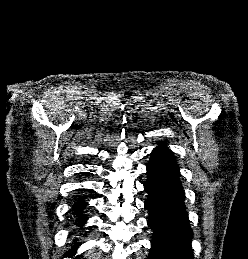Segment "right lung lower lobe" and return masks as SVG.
<instances>
[{
	"mask_svg": "<svg viewBox=\"0 0 248 259\" xmlns=\"http://www.w3.org/2000/svg\"><path fill=\"white\" fill-rule=\"evenodd\" d=\"M86 202L83 199H80L76 202V204L73 207L72 212L73 215L77 217L76 224L78 227H81L84 224L85 219L83 218V208L85 207ZM77 249V247H73L68 253H66L65 256H72L74 254V251Z\"/></svg>",
	"mask_w": 248,
	"mask_h": 259,
	"instance_id": "1",
	"label": "right lung lower lobe"
}]
</instances>
